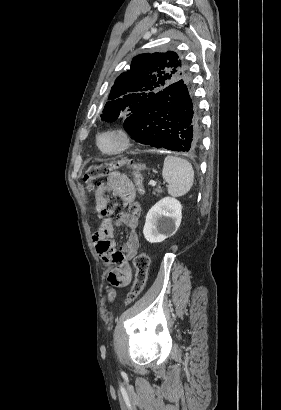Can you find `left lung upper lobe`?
I'll use <instances>...</instances> for the list:
<instances>
[{
    "instance_id": "left-lung-upper-lobe-1",
    "label": "left lung upper lobe",
    "mask_w": 281,
    "mask_h": 410,
    "mask_svg": "<svg viewBox=\"0 0 281 410\" xmlns=\"http://www.w3.org/2000/svg\"><path fill=\"white\" fill-rule=\"evenodd\" d=\"M183 79H189V73L175 52L138 55L116 79L101 119L113 122L139 113L153 95Z\"/></svg>"
}]
</instances>
